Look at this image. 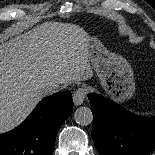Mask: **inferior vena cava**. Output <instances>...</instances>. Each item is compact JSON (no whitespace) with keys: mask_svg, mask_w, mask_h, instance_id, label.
<instances>
[{"mask_svg":"<svg viewBox=\"0 0 155 155\" xmlns=\"http://www.w3.org/2000/svg\"><path fill=\"white\" fill-rule=\"evenodd\" d=\"M62 89V86L58 83H50L44 89V93L46 95L58 92Z\"/></svg>","mask_w":155,"mask_h":155,"instance_id":"1","label":"inferior vena cava"}]
</instances>
